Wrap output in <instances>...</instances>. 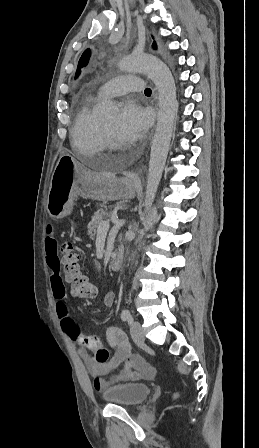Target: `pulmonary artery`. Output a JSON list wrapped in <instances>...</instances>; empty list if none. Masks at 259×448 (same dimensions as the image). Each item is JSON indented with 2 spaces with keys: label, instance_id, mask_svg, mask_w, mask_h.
Here are the masks:
<instances>
[{
  "label": "pulmonary artery",
  "instance_id": "pulmonary-artery-1",
  "mask_svg": "<svg viewBox=\"0 0 259 448\" xmlns=\"http://www.w3.org/2000/svg\"><path fill=\"white\" fill-rule=\"evenodd\" d=\"M123 69L127 72H136L137 71L135 68L129 67V66H124ZM127 78H134V76L120 75V76H117V77L111 79L110 81H108L107 83H105L104 85H102L99 88L98 95L101 98H109V97H113V96H117V95H121V94H125V93L129 92L128 89L118 85V82L125 80Z\"/></svg>",
  "mask_w": 259,
  "mask_h": 448
}]
</instances>
